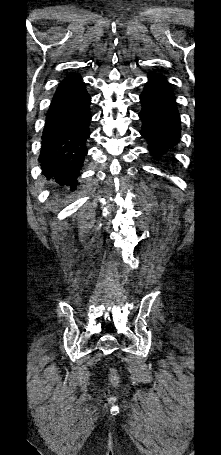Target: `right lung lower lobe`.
Returning <instances> with one entry per match:
<instances>
[{"label":"right lung lower lobe","instance_id":"right-lung-lower-lobe-1","mask_svg":"<svg viewBox=\"0 0 221 455\" xmlns=\"http://www.w3.org/2000/svg\"><path fill=\"white\" fill-rule=\"evenodd\" d=\"M91 97L79 74H69L58 86L47 112L39 161L60 184L76 178L87 154Z\"/></svg>","mask_w":221,"mask_h":455}]
</instances>
